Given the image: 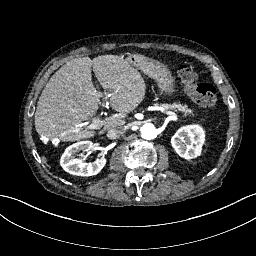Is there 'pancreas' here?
<instances>
[{"mask_svg":"<svg viewBox=\"0 0 256 256\" xmlns=\"http://www.w3.org/2000/svg\"><path fill=\"white\" fill-rule=\"evenodd\" d=\"M167 108L171 109V108H174V109H178L182 112L185 113V117L187 118H193L195 116H197L196 113H194V109H189L188 108V105L186 104H179V105H166ZM201 122H205L206 120L204 118L200 119Z\"/></svg>","mask_w":256,"mask_h":256,"instance_id":"cf45deb5","label":"pancreas"}]
</instances>
